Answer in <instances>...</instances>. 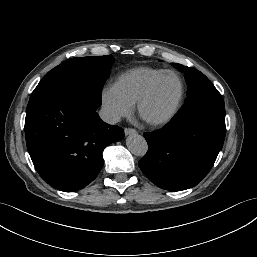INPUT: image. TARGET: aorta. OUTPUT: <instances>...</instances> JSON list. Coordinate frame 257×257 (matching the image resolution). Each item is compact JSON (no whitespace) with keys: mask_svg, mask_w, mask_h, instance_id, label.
<instances>
[{"mask_svg":"<svg viewBox=\"0 0 257 257\" xmlns=\"http://www.w3.org/2000/svg\"><path fill=\"white\" fill-rule=\"evenodd\" d=\"M126 144L132 154L144 156L147 153L148 145L145 138L137 133H132L127 137Z\"/></svg>","mask_w":257,"mask_h":257,"instance_id":"obj_1","label":"aorta"}]
</instances>
